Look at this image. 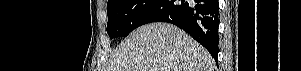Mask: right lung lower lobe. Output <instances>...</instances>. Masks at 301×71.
<instances>
[{
	"label": "right lung lower lobe",
	"instance_id": "1",
	"mask_svg": "<svg viewBox=\"0 0 301 71\" xmlns=\"http://www.w3.org/2000/svg\"><path fill=\"white\" fill-rule=\"evenodd\" d=\"M151 22L172 23L203 45L218 63V0H158L139 26Z\"/></svg>",
	"mask_w": 301,
	"mask_h": 71
}]
</instances>
